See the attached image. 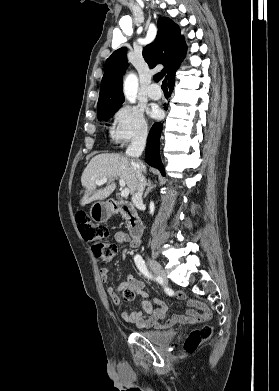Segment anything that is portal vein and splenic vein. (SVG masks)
Returning a JSON list of instances; mask_svg holds the SVG:
<instances>
[{"label":"portal vein and splenic vein","instance_id":"1","mask_svg":"<svg viewBox=\"0 0 279 391\" xmlns=\"http://www.w3.org/2000/svg\"><path fill=\"white\" fill-rule=\"evenodd\" d=\"M107 181V178H103L101 180H96V184L97 185H102L104 184L105 182ZM119 184H120V187H121V196L122 197H127L130 193L129 189L125 187V182L122 178L119 179Z\"/></svg>","mask_w":279,"mask_h":391}]
</instances>
